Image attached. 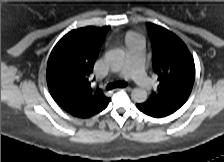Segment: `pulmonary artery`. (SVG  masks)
I'll return each mask as SVG.
<instances>
[{
  "label": "pulmonary artery",
  "instance_id": "pulmonary-artery-1",
  "mask_svg": "<svg viewBox=\"0 0 224 162\" xmlns=\"http://www.w3.org/2000/svg\"><path fill=\"white\" fill-rule=\"evenodd\" d=\"M127 56L123 69L115 73L116 78L129 77L138 86L149 89L153 86V80L146 74L144 67L143 41L140 38L128 42Z\"/></svg>",
  "mask_w": 224,
  "mask_h": 162
}]
</instances>
